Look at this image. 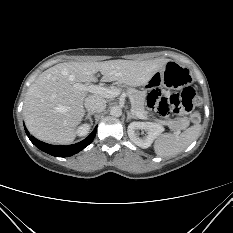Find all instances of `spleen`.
I'll use <instances>...</instances> for the list:
<instances>
[{
	"instance_id": "1",
	"label": "spleen",
	"mask_w": 233,
	"mask_h": 233,
	"mask_svg": "<svg viewBox=\"0 0 233 233\" xmlns=\"http://www.w3.org/2000/svg\"><path fill=\"white\" fill-rule=\"evenodd\" d=\"M201 132L200 125H194L186 129L181 134H164L157 138L154 144V151L158 156H173L184 151Z\"/></svg>"
}]
</instances>
